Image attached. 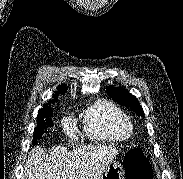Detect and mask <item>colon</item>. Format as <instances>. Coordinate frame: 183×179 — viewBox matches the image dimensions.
Masks as SVG:
<instances>
[{
    "label": "colon",
    "instance_id": "1",
    "mask_svg": "<svg viewBox=\"0 0 183 179\" xmlns=\"http://www.w3.org/2000/svg\"><path fill=\"white\" fill-rule=\"evenodd\" d=\"M126 179H153L150 162L137 148L129 150L124 160Z\"/></svg>",
    "mask_w": 183,
    "mask_h": 179
}]
</instances>
